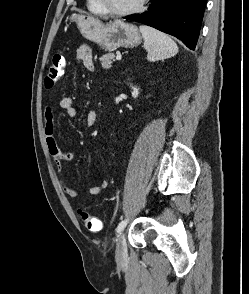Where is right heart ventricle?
<instances>
[{"instance_id":"e07e8e85","label":"right heart ventricle","mask_w":249,"mask_h":294,"mask_svg":"<svg viewBox=\"0 0 249 294\" xmlns=\"http://www.w3.org/2000/svg\"><path fill=\"white\" fill-rule=\"evenodd\" d=\"M87 7L89 11H91L94 14H97V15L105 14L103 9L99 6L97 0H87Z\"/></svg>"}]
</instances>
